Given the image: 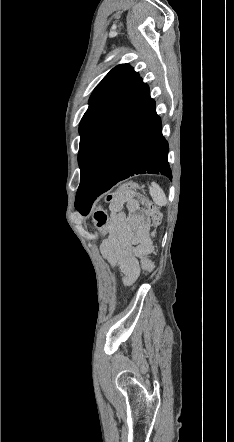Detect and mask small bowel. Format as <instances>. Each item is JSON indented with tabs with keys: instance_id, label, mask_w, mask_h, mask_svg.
Listing matches in <instances>:
<instances>
[{
	"instance_id": "1",
	"label": "small bowel",
	"mask_w": 234,
	"mask_h": 442,
	"mask_svg": "<svg viewBox=\"0 0 234 442\" xmlns=\"http://www.w3.org/2000/svg\"><path fill=\"white\" fill-rule=\"evenodd\" d=\"M108 234L101 244V253L112 267H119L123 281L130 285L138 278L143 263L139 243L147 230V216L132 193L110 205Z\"/></svg>"
}]
</instances>
